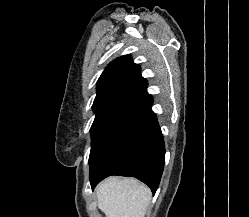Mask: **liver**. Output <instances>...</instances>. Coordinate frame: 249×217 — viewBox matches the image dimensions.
Here are the masks:
<instances>
[{
	"instance_id": "6515ba94",
	"label": "liver",
	"mask_w": 249,
	"mask_h": 217,
	"mask_svg": "<svg viewBox=\"0 0 249 217\" xmlns=\"http://www.w3.org/2000/svg\"><path fill=\"white\" fill-rule=\"evenodd\" d=\"M97 200L105 217H144L151 191L136 179L109 177L97 186Z\"/></svg>"
}]
</instances>
